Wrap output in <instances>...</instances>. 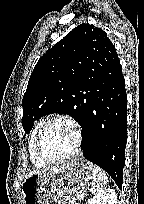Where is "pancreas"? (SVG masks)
I'll list each match as a JSON object with an SVG mask.
<instances>
[{"label":"pancreas","mask_w":144,"mask_h":204,"mask_svg":"<svg viewBox=\"0 0 144 204\" xmlns=\"http://www.w3.org/2000/svg\"><path fill=\"white\" fill-rule=\"evenodd\" d=\"M68 204H75V203H74V202H72V201H69V202H68Z\"/></svg>","instance_id":"obj_1"}]
</instances>
